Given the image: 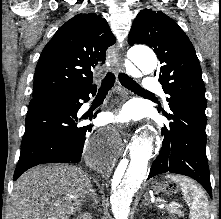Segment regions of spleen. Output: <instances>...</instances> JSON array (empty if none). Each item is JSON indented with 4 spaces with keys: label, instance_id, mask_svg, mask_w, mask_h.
<instances>
[{
    "label": "spleen",
    "instance_id": "obj_1",
    "mask_svg": "<svg viewBox=\"0 0 221 219\" xmlns=\"http://www.w3.org/2000/svg\"><path fill=\"white\" fill-rule=\"evenodd\" d=\"M167 177L181 187L185 202L190 207V218L209 219V202L202 188L187 177L180 175H168Z\"/></svg>",
    "mask_w": 221,
    "mask_h": 219
}]
</instances>
